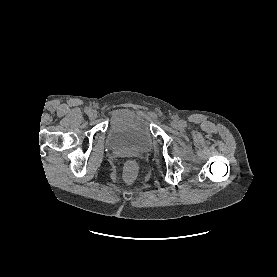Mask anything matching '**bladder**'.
I'll use <instances>...</instances> for the list:
<instances>
[{
	"label": "bladder",
	"mask_w": 277,
	"mask_h": 277,
	"mask_svg": "<svg viewBox=\"0 0 277 277\" xmlns=\"http://www.w3.org/2000/svg\"><path fill=\"white\" fill-rule=\"evenodd\" d=\"M153 144L151 116L147 112L121 108L111 114L107 136L110 150L147 152Z\"/></svg>",
	"instance_id": "obj_1"
}]
</instances>
